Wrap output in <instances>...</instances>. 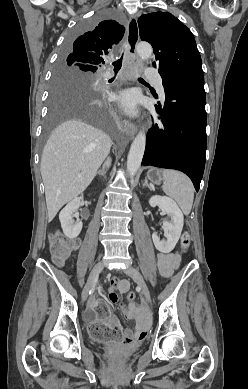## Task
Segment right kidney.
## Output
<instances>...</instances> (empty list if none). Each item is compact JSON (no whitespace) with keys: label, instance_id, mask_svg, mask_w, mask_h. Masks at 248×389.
I'll use <instances>...</instances> for the list:
<instances>
[{"label":"right kidney","instance_id":"obj_1","mask_svg":"<svg viewBox=\"0 0 248 389\" xmlns=\"http://www.w3.org/2000/svg\"><path fill=\"white\" fill-rule=\"evenodd\" d=\"M80 206V198H74L71 200L60 212L59 220L63 233L70 239L76 238L82 230V222L78 218L77 210ZM76 216L77 220L74 221L73 217Z\"/></svg>","mask_w":248,"mask_h":389}]
</instances>
